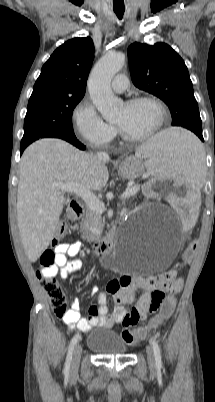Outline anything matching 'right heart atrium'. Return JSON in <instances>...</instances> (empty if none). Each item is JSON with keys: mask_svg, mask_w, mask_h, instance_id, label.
I'll return each mask as SVG.
<instances>
[{"mask_svg": "<svg viewBox=\"0 0 215 402\" xmlns=\"http://www.w3.org/2000/svg\"><path fill=\"white\" fill-rule=\"evenodd\" d=\"M73 121L76 135L92 147L108 146L117 133L116 128L99 115L87 98L75 107Z\"/></svg>", "mask_w": 215, "mask_h": 402, "instance_id": "1", "label": "right heart atrium"}]
</instances>
